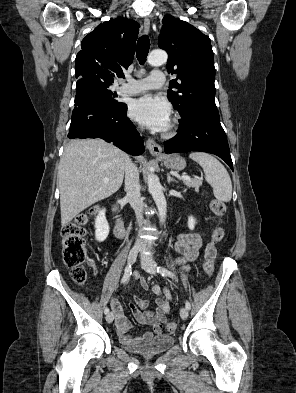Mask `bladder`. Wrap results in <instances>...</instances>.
I'll list each match as a JSON object with an SVG mask.
<instances>
[{"label":"bladder","mask_w":296,"mask_h":393,"mask_svg":"<svg viewBox=\"0 0 296 393\" xmlns=\"http://www.w3.org/2000/svg\"><path fill=\"white\" fill-rule=\"evenodd\" d=\"M175 339L173 335L158 334L153 336L147 343L142 345H125L127 351L136 353L141 356H154L162 354L174 345Z\"/></svg>","instance_id":"obj_1"}]
</instances>
